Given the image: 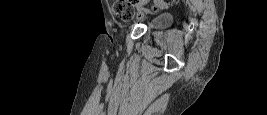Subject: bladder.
Segmentation results:
<instances>
[{"mask_svg": "<svg viewBox=\"0 0 267 115\" xmlns=\"http://www.w3.org/2000/svg\"><path fill=\"white\" fill-rule=\"evenodd\" d=\"M171 23V17L168 14H159L155 16L150 22V28L154 30H159L166 28Z\"/></svg>", "mask_w": 267, "mask_h": 115, "instance_id": "obj_1", "label": "bladder"}]
</instances>
